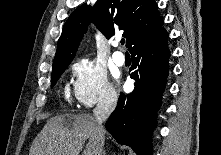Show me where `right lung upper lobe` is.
<instances>
[{
	"label": "right lung upper lobe",
	"mask_w": 221,
	"mask_h": 155,
	"mask_svg": "<svg viewBox=\"0 0 221 155\" xmlns=\"http://www.w3.org/2000/svg\"><path fill=\"white\" fill-rule=\"evenodd\" d=\"M91 21L108 39L123 31L129 50L139 37L163 23L154 0H97L93 8L83 4L63 27L53 69L71 63Z\"/></svg>",
	"instance_id": "right-lung-upper-lobe-1"
}]
</instances>
